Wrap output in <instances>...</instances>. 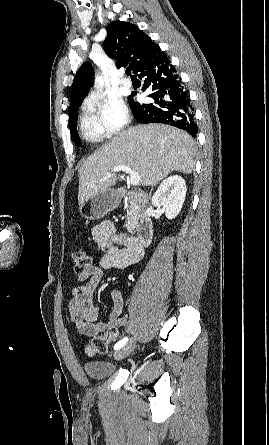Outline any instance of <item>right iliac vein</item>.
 <instances>
[{
	"label": "right iliac vein",
	"mask_w": 269,
	"mask_h": 445,
	"mask_svg": "<svg viewBox=\"0 0 269 445\" xmlns=\"http://www.w3.org/2000/svg\"><path fill=\"white\" fill-rule=\"evenodd\" d=\"M135 344L133 342L127 344L126 346L122 347L118 351L114 353V358L116 360H121L125 357H127L134 349Z\"/></svg>",
	"instance_id": "obj_1"
}]
</instances>
